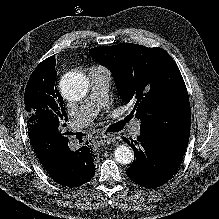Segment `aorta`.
Returning <instances> with one entry per match:
<instances>
[{"label": "aorta", "mask_w": 219, "mask_h": 219, "mask_svg": "<svg viewBox=\"0 0 219 219\" xmlns=\"http://www.w3.org/2000/svg\"><path fill=\"white\" fill-rule=\"evenodd\" d=\"M89 87L87 78L81 74H75L70 77H64L60 84L63 96L71 101L82 99ZM115 160L123 165L130 164L134 159V153L128 145H120L114 151Z\"/></svg>", "instance_id": "1"}]
</instances>
